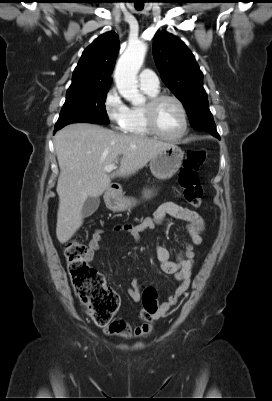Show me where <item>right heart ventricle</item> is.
<instances>
[{"instance_id": "e07e8e85", "label": "right heart ventricle", "mask_w": 272, "mask_h": 401, "mask_svg": "<svg viewBox=\"0 0 272 401\" xmlns=\"http://www.w3.org/2000/svg\"><path fill=\"white\" fill-rule=\"evenodd\" d=\"M149 97L159 94V90L142 89ZM144 106H132L129 108V116L123 132L130 135L148 137L153 135L148 129L145 121Z\"/></svg>"}]
</instances>
